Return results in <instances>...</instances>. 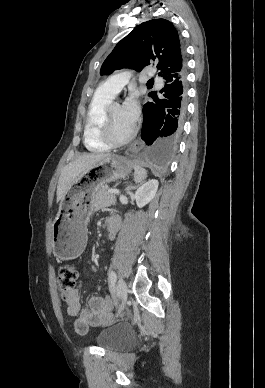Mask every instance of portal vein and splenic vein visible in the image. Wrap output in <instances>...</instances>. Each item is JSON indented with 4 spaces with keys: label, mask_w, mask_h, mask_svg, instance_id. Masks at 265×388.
<instances>
[{
    "label": "portal vein and splenic vein",
    "mask_w": 265,
    "mask_h": 388,
    "mask_svg": "<svg viewBox=\"0 0 265 388\" xmlns=\"http://www.w3.org/2000/svg\"><path fill=\"white\" fill-rule=\"evenodd\" d=\"M109 194H119L120 190H108Z\"/></svg>",
    "instance_id": "portal-vein-and-splenic-vein-1"
}]
</instances>
